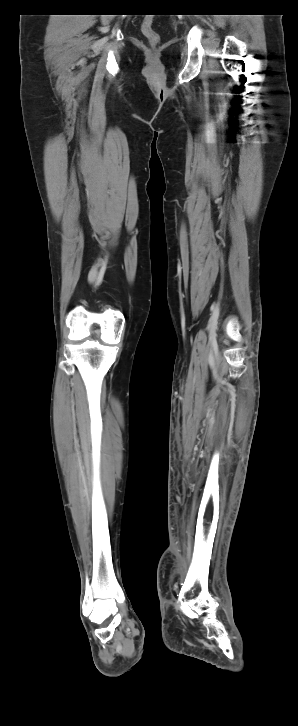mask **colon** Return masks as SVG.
Listing matches in <instances>:
<instances>
[{
    "instance_id": "colon-1",
    "label": "colon",
    "mask_w": 298,
    "mask_h": 726,
    "mask_svg": "<svg viewBox=\"0 0 298 726\" xmlns=\"http://www.w3.org/2000/svg\"><path fill=\"white\" fill-rule=\"evenodd\" d=\"M141 30L143 35L152 43H156L159 40L158 33L153 28V22L151 18L144 19Z\"/></svg>"
}]
</instances>
